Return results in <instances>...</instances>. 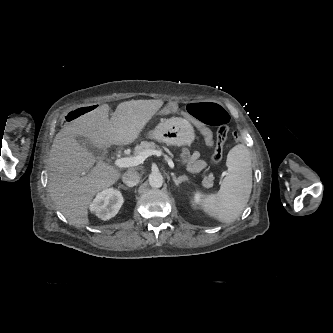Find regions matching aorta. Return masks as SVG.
<instances>
[{
  "label": "aorta",
  "instance_id": "aorta-1",
  "mask_svg": "<svg viewBox=\"0 0 333 333\" xmlns=\"http://www.w3.org/2000/svg\"><path fill=\"white\" fill-rule=\"evenodd\" d=\"M149 184L153 188H159L163 185V176L160 172L154 171L149 175Z\"/></svg>",
  "mask_w": 333,
  "mask_h": 333
}]
</instances>
